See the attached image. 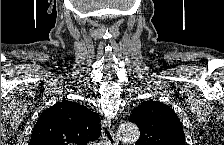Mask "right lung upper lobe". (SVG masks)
Instances as JSON below:
<instances>
[{
	"mask_svg": "<svg viewBox=\"0 0 224 145\" xmlns=\"http://www.w3.org/2000/svg\"><path fill=\"white\" fill-rule=\"evenodd\" d=\"M99 115L72 101L45 110L36 122L30 145H87L99 138Z\"/></svg>",
	"mask_w": 224,
	"mask_h": 145,
	"instance_id": "obj_1",
	"label": "right lung upper lobe"
}]
</instances>
